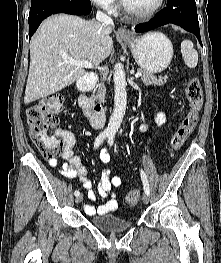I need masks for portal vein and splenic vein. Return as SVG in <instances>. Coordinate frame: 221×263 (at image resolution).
<instances>
[{
	"mask_svg": "<svg viewBox=\"0 0 221 263\" xmlns=\"http://www.w3.org/2000/svg\"><path fill=\"white\" fill-rule=\"evenodd\" d=\"M65 63H68V64H71V65H76L77 67H84V68H97L99 70H102V71H105V68L103 67H98V66H94L91 62L89 61H81V60H74V59H67L65 61ZM142 76V73L141 72H137L135 74V77L138 78V77H141Z\"/></svg>",
	"mask_w": 221,
	"mask_h": 263,
	"instance_id": "18ae733b",
	"label": "portal vein and splenic vein"
}]
</instances>
